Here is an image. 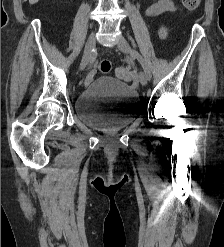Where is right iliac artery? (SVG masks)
<instances>
[{
  "label": "right iliac artery",
  "mask_w": 224,
  "mask_h": 247,
  "mask_svg": "<svg viewBox=\"0 0 224 247\" xmlns=\"http://www.w3.org/2000/svg\"><path fill=\"white\" fill-rule=\"evenodd\" d=\"M95 54H96V53H95V50H93V56H95ZM92 59H93V58H92Z\"/></svg>",
  "instance_id": "1"
}]
</instances>
